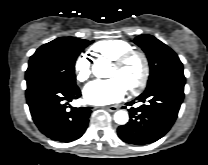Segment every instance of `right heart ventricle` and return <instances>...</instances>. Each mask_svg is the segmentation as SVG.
<instances>
[{"label":"right heart ventricle","mask_w":208,"mask_h":165,"mask_svg":"<svg viewBox=\"0 0 208 165\" xmlns=\"http://www.w3.org/2000/svg\"><path fill=\"white\" fill-rule=\"evenodd\" d=\"M91 49L96 54L112 61L121 54L133 50V46L122 39H105L94 44Z\"/></svg>","instance_id":"1"}]
</instances>
